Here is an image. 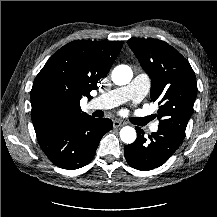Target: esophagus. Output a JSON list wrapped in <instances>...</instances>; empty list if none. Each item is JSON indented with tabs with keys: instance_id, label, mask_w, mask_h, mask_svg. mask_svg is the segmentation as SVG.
Here are the masks:
<instances>
[{
	"instance_id": "1",
	"label": "esophagus",
	"mask_w": 217,
	"mask_h": 217,
	"mask_svg": "<svg viewBox=\"0 0 217 217\" xmlns=\"http://www.w3.org/2000/svg\"><path fill=\"white\" fill-rule=\"evenodd\" d=\"M113 126H114L115 128H119V127H122V126H123V123H122L121 121H119V120H114V121H113Z\"/></svg>"
}]
</instances>
